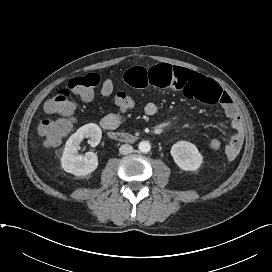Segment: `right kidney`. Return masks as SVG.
<instances>
[{"instance_id":"ca27d5eb","label":"right kidney","mask_w":272,"mask_h":272,"mask_svg":"<svg viewBox=\"0 0 272 272\" xmlns=\"http://www.w3.org/2000/svg\"><path fill=\"white\" fill-rule=\"evenodd\" d=\"M102 131L97 124L89 123L80 127L70 136L65 144L61 158L62 168L75 176H85L96 170L98 158L95 153L88 152L85 156L79 155L78 150L84 138H90L88 143L95 147L99 144Z\"/></svg>"}]
</instances>
